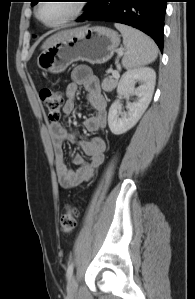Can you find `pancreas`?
<instances>
[{
    "instance_id": "1",
    "label": "pancreas",
    "mask_w": 195,
    "mask_h": 299,
    "mask_svg": "<svg viewBox=\"0 0 195 299\" xmlns=\"http://www.w3.org/2000/svg\"><path fill=\"white\" fill-rule=\"evenodd\" d=\"M117 84H118V78L106 77L102 81V89L104 91L110 92L117 86Z\"/></svg>"
}]
</instances>
